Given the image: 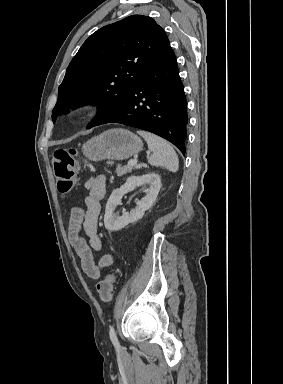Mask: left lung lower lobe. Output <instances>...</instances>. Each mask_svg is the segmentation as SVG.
Segmentation results:
<instances>
[{"label":"left lung lower lobe","mask_w":283,"mask_h":384,"mask_svg":"<svg viewBox=\"0 0 283 384\" xmlns=\"http://www.w3.org/2000/svg\"><path fill=\"white\" fill-rule=\"evenodd\" d=\"M104 123H120L152 132L185 154L187 102L170 46L137 81L125 105L98 125Z\"/></svg>","instance_id":"1"}]
</instances>
